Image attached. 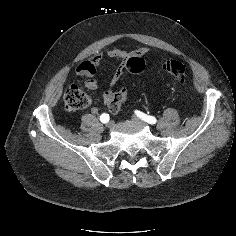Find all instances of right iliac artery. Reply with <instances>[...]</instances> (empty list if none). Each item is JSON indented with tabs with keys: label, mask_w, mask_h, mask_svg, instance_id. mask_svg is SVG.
<instances>
[{
	"label": "right iliac artery",
	"mask_w": 236,
	"mask_h": 236,
	"mask_svg": "<svg viewBox=\"0 0 236 236\" xmlns=\"http://www.w3.org/2000/svg\"><path fill=\"white\" fill-rule=\"evenodd\" d=\"M100 121H101L102 123H107V122L109 121V114H107V113L101 114V116H100Z\"/></svg>",
	"instance_id": "1"
}]
</instances>
